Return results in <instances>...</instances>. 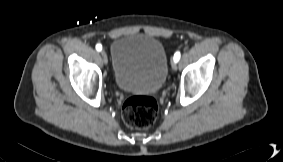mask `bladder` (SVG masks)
<instances>
[{"instance_id": "obj_1", "label": "bladder", "mask_w": 283, "mask_h": 162, "mask_svg": "<svg viewBox=\"0 0 283 162\" xmlns=\"http://www.w3.org/2000/svg\"><path fill=\"white\" fill-rule=\"evenodd\" d=\"M112 76L123 92L151 94L159 91L168 75L163 44L147 34H128L111 47Z\"/></svg>"}]
</instances>
